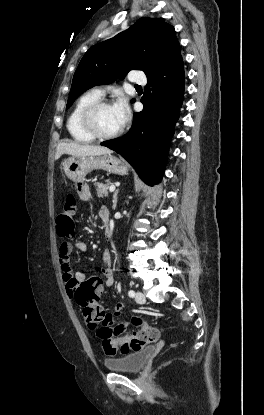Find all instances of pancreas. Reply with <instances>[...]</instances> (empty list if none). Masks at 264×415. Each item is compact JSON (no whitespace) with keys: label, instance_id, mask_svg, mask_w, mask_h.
Wrapping results in <instances>:
<instances>
[{"label":"pancreas","instance_id":"1","mask_svg":"<svg viewBox=\"0 0 264 415\" xmlns=\"http://www.w3.org/2000/svg\"><path fill=\"white\" fill-rule=\"evenodd\" d=\"M95 187H96L97 196L100 197V198H104L108 194L110 184L109 183H107V184L96 183Z\"/></svg>","mask_w":264,"mask_h":415}]
</instances>
